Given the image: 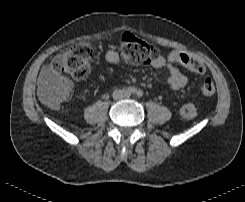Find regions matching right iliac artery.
I'll list each match as a JSON object with an SVG mask.
<instances>
[{
    "label": "right iliac artery",
    "instance_id": "1",
    "mask_svg": "<svg viewBox=\"0 0 245 202\" xmlns=\"http://www.w3.org/2000/svg\"><path fill=\"white\" fill-rule=\"evenodd\" d=\"M135 91H136V89H135L134 87H132V86H130V87L127 88V93H128L129 95L135 93Z\"/></svg>",
    "mask_w": 245,
    "mask_h": 202
}]
</instances>
